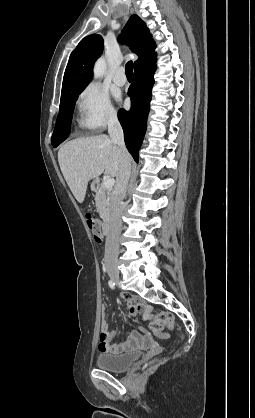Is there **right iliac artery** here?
Returning <instances> with one entry per match:
<instances>
[{"label": "right iliac artery", "instance_id": "right-iliac-artery-1", "mask_svg": "<svg viewBox=\"0 0 255 418\" xmlns=\"http://www.w3.org/2000/svg\"><path fill=\"white\" fill-rule=\"evenodd\" d=\"M108 284L111 289L115 288V283L112 280H109Z\"/></svg>", "mask_w": 255, "mask_h": 418}]
</instances>
